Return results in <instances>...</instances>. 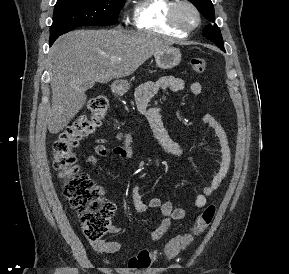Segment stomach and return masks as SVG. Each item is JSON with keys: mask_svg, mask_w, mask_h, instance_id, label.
<instances>
[{"mask_svg": "<svg viewBox=\"0 0 289 274\" xmlns=\"http://www.w3.org/2000/svg\"><path fill=\"white\" fill-rule=\"evenodd\" d=\"M181 61L180 50L170 47L155 55L156 65L161 69H170L177 66ZM130 88L127 80H116L112 84V90L118 94L126 93Z\"/></svg>", "mask_w": 289, "mask_h": 274, "instance_id": "stomach-1", "label": "stomach"}]
</instances>
